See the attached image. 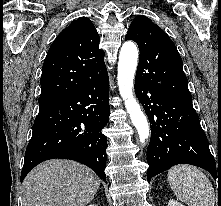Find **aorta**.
Segmentation results:
<instances>
[{"label": "aorta", "mask_w": 221, "mask_h": 206, "mask_svg": "<svg viewBox=\"0 0 221 206\" xmlns=\"http://www.w3.org/2000/svg\"><path fill=\"white\" fill-rule=\"evenodd\" d=\"M138 49L131 42H125L121 48L118 62V86L132 124L137 129L139 139L143 143L149 137V124L133 95L134 75L137 68Z\"/></svg>", "instance_id": "obj_1"}]
</instances>
